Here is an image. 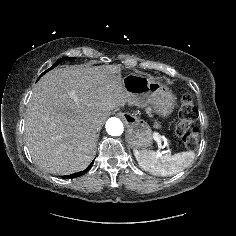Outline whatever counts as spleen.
<instances>
[{"label": "spleen", "instance_id": "1", "mask_svg": "<svg viewBox=\"0 0 236 236\" xmlns=\"http://www.w3.org/2000/svg\"><path fill=\"white\" fill-rule=\"evenodd\" d=\"M135 158L142 169L160 176H172L184 170L195 158L194 151L174 155L160 151L134 150Z\"/></svg>", "mask_w": 236, "mask_h": 236}]
</instances>
